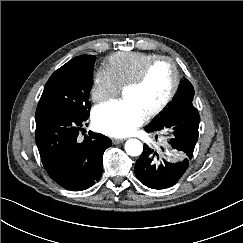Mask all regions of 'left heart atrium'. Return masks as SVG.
<instances>
[{"mask_svg": "<svg viewBox=\"0 0 243 243\" xmlns=\"http://www.w3.org/2000/svg\"><path fill=\"white\" fill-rule=\"evenodd\" d=\"M145 119L140 109L129 100H117L96 107L92 120L95 128L109 136L126 137Z\"/></svg>", "mask_w": 243, "mask_h": 243, "instance_id": "1", "label": "left heart atrium"}]
</instances>
